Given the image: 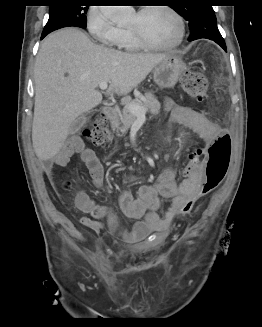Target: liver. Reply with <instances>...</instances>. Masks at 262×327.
Instances as JSON below:
<instances>
[{"label":"liver","mask_w":262,"mask_h":327,"mask_svg":"<svg viewBox=\"0 0 262 327\" xmlns=\"http://www.w3.org/2000/svg\"><path fill=\"white\" fill-rule=\"evenodd\" d=\"M166 54L125 53L93 43L77 28H64L46 37L35 68V105L32 142L36 156L55 157L68 136L71 123L99 105L101 82L107 95H127Z\"/></svg>","instance_id":"liver-1"}]
</instances>
